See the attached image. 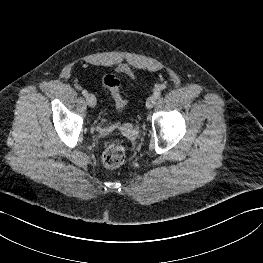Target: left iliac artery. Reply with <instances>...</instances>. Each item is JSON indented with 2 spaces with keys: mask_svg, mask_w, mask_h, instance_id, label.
I'll return each mask as SVG.
<instances>
[{
  "mask_svg": "<svg viewBox=\"0 0 263 263\" xmlns=\"http://www.w3.org/2000/svg\"><path fill=\"white\" fill-rule=\"evenodd\" d=\"M160 96H161V93H160V92H155V93H154V97H155L156 99L160 98Z\"/></svg>",
  "mask_w": 263,
  "mask_h": 263,
  "instance_id": "obj_1",
  "label": "left iliac artery"
}]
</instances>
